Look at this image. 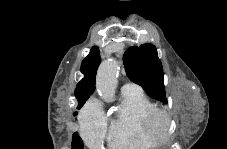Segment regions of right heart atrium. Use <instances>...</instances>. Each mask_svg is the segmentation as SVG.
<instances>
[{
    "mask_svg": "<svg viewBox=\"0 0 227 149\" xmlns=\"http://www.w3.org/2000/svg\"><path fill=\"white\" fill-rule=\"evenodd\" d=\"M106 117L98 100L91 99L80 116L82 136L88 146H100L106 134Z\"/></svg>",
    "mask_w": 227,
    "mask_h": 149,
    "instance_id": "right-heart-atrium-1",
    "label": "right heart atrium"
}]
</instances>
